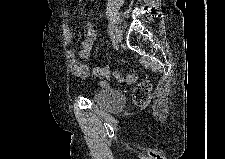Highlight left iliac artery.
<instances>
[{"label": "left iliac artery", "mask_w": 225, "mask_h": 159, "mask_svg": "<svg viewBox=\"0 0 225 159\" xmlns=\"http://www.w3.org/2000/svg\"><path fill=\"white\" fill-rule=\"evenodd\" d=\"M109 33H110V35H113V33H114V27L113 26H110L109 27ZM110 40L111 41H114L115 40V37L114 36H111L110 37Z\"/></svg>", "instance_id": "left-iliac-artery-1"}]
</instances>
